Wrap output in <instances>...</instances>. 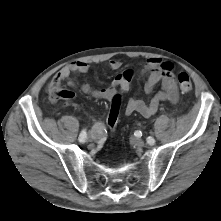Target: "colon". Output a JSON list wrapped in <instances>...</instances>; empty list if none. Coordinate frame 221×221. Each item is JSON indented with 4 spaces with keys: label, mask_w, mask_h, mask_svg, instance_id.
I'll return each mask as SVG.
<instances>
[{
    "label": "colon",
    "mask_w": 221,
    "mask_h": 221,
    "mask_svg": "<svg viewBox=\"0 0 221 221\" xmlns=\"http://www.w3.org/2000/svg\"><path fill=\"white\" fill-rule=\"evenodd\" d=\"M129 77L130 75L127 74ZM178 82L182 93H190L193 89L192 82L188 74L181 72L178 74ZM49 98L52 102L73 98V92L60 86L58 81H53L48 87ZM123 100V91H117L112 96V103L107 117V124L111 132H114L120 113V107Z\"/></svg>",
    "instance_id": "5ec220e1"
}]
</instances>
